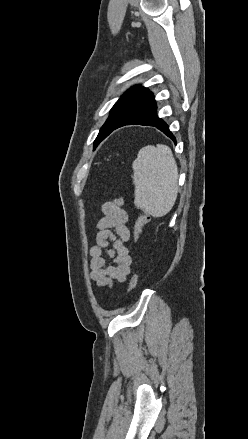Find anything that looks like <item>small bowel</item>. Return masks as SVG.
I'll use <instances>...</instances> for the list:
<instances>
[{
    "instance_id": "c3829d8e",
    "label": "small bowel",
    "mask_w": 248,
    "mask_h": 439,
    "mask_svg": "<svg viewBox=\"0 0 248 439\" xmlns=\"http://www.w3.org/2000/svg\"><path fill=\"white\" fill-rule=\"evenodd\" d=\"M123 203L122 199H116L102 204L103 216L96 225V244L89 249L90 278L100 288H112L114 282H125L130 274L132 257L125 243L131 234ZM104 254L113 259L115 265L108 266Z\"/></svg>"
}]
</instances>
